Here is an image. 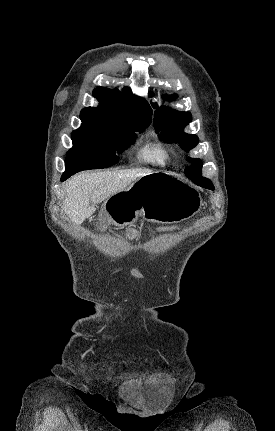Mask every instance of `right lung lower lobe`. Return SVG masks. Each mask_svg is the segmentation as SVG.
<instances>
[{
    "instance_id": "1",
    "label": "right lung lower lobe",
    "mask_w": 275,
    "mask_h": 431,
    "mask_svg": "<svg viewBox=\"0 0 275 431\" xmlns=\"http://www.w3.org/2000/svg\"><path fill=\"white\" fill-rule=\"evenodd\" d=\"M73 174H75V173L63 174V175H62V178H61V181L66 180L67 178H69V177H70L71 175H73Z\"/></svg>"
}]
</instances>
